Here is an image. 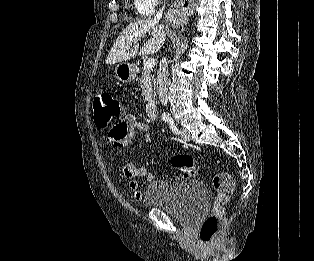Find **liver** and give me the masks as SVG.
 <instances>
[{
    "label": "liver",
    "mask_w": 314,
    "mask_h": 261,
    "mask_svg": "<svg viewBox=\"0 0 314 261\" xmlns=\"http://www.w3.org/2000/svg\"><path fill=\"white\" fill-rule=\"evenodd\" d=\"M152 33L149 39L139 51L138 40ZM166 40V33L163 25H158L157 19H146L129 24L116 39L106 59V64L112 65L122 63L139 54L157 53Z\"/></svg>",
    "instance_id": "obj_1"
}]
</instances>
